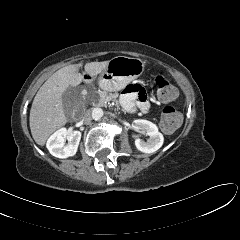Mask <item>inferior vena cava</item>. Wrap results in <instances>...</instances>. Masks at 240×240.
I'll return each mask as SVG.
<instances>
[{"mask_svg": "<svg viewBox=\"0 0 240 240\" xmlns=\"http://www.w3.org/2000/svg\"><path fill=\"white\" fill-rule=\"evenodd\" d=\"M92 118H91V114L89 111H87L83 118H82V121L84 122V124H89L91 122Z\"/></svg>", "mask_w": 240, "mask_h": 240, "instance_id": "obj_1", "label": "inferior vena cava"}]
</instances>
